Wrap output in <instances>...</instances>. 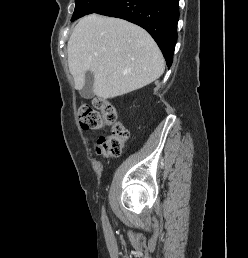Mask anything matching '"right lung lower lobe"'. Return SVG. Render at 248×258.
I'll return each mask as SVG.
<instances>
[{
    "label": "right lung lower lobe",
    "instance_id": "right-lung-lower-lobe-1",
    "mask_svg": "<svg viewBox=\"0 0 248 258\" xmlns=\"http://www.w3.org/2000/svg\"><path fill=\"white\" fill-rule=\"evenodd\" d=\"M179 0H114L96 13L122 18L144 28L171 66L177 40Z\"/></svg>",
    "mask_w": 248,
    "mask_h": 258
}]
</instances>
